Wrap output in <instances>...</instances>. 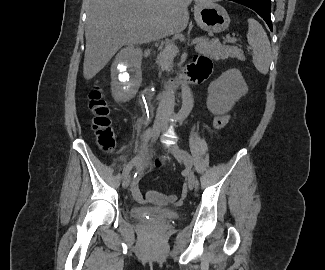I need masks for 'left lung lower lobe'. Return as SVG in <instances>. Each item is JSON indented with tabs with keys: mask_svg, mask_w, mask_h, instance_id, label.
Segmentation results:
<instances>
[{
	"mask_svg": "<svg viewBox=\"0 0 325 270\" xmlns=\"http://www.w3.org/2000/svg\"><path fill=\"white\" fill-rule=\"evenodd\" d=\"M245 5L256 11L267 23L270 30L273 31L271 21V0H230Z\"/></svg>",
	"mask_w": 325,
	"mask_h": 270,
	"instance_id": "0a47b994",
	"label": "left lung lower lobe"
}]
</instances>
